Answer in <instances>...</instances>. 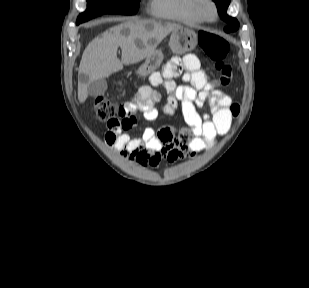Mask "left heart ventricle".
<instances>
[{
	"instance_id": "1",
	"label": "left heart ventricle",
	"mask_w": 309,
	"mask_h": 288,
	"mask_svg": "<svg viewBox=\"0 0 309 288\" xmlns=\"http://www.w3.org/2000/svg\"><path fill=\"white\" fill-rule=\"evenodd\" d=\"M205 12H206V14H207L208 16H212V15H213V11H212V9H211L210 7H206V8H205Z\"/></svg>"
}]
</instances>
